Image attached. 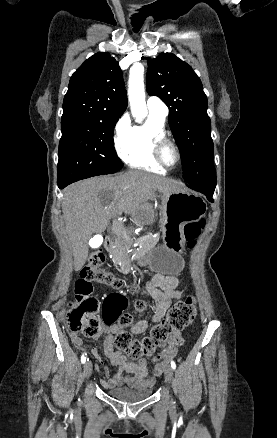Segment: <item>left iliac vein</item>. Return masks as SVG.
<instances>
[{
  "label": "left iliac vein",
  "mask_w": 277,
  "mask_h": 438,
  "mask_svg": "<svg viewBox=\"0 0 277 438\" xmlns=\"http://www.w3.org/2000/svg\"><path fill=\"white\" fill-rule=\"evenodd\" d=\"M173 378V369L170 366H167L165 369V380L170 383Z\"/></svg>",
  "instance_id": "obj_1"
}]
</instances>
